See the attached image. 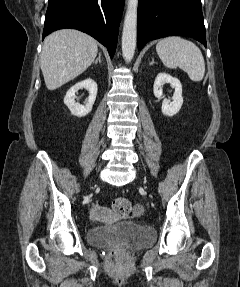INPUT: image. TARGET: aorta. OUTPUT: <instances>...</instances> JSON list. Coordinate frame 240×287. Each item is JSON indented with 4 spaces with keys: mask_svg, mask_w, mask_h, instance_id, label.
<instances>
[{
    "mask_svg": "<svg viewBox=\"0 0 240 287\" xmlns=\"http://www.w3.org/2000/svg\"><path fill=\"white\" fill-rule=\"evenodd\" d=\"M138 0H128L122 32V55L129 63L134 57L136 49Z\"/></svg>",
    "mask_w": 240,
    "mask_h": 287,
    "instance_id": "obj_1",
    "label": "aorta"
}]
</instances>
